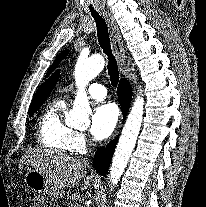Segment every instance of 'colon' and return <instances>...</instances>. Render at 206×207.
Wrapping results in <instances>:
<instances>
[{
  "label": "colon",
  "mask_w": 206,
  "mask_h": 207,
  "mask_svg": "<svg viewBox=\"0 0 206 207\" xmlns=\"http://www.w3.org/2000/svg\"><path fill=\"white\" fill-rule=\"evenodd\" d=\"M32 200L34 207H48L47 201L40 196L32 195Z\"/></svg>",
  "instance_id": "colon-1"
}]
</instances>
